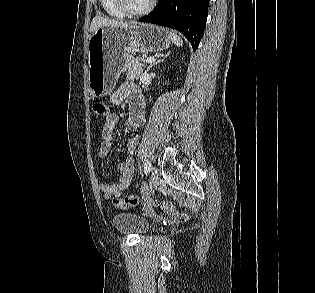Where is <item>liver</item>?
Instances as JSON below:
<instances>
[{"label": "liver", "mask_w": 315, "mask_h": 293, "mask_svg": "<svg viewBox=\"0 0 315 293\" xmlns=\"http://www.w3.org/2000/svg\"><path fill=\"white\" fill-rule=\"evenodd\" d=\"M130 24L129 22H123L119 20L109 19L102 16H96L93 18L91 25H90V37L93 33L102 27H117V26H124Z\"/></svg>", "instance_id": "1"}]
</instances>
